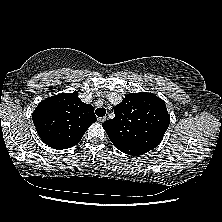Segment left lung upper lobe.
Wrapping results in <instances>:
<instances>
[{
    "mask_svg": "<svg viewBox=\"0 0 222 222\" xmlns=\"http://www.w3.org/2000/svg\"><path fill=\"white\" fill-rule=\"evenodd\" d=\"M115 117L102 126L116 148L153 150L161 142L169 124L164 101L154 94L130 93L115 106Z\"/></svg>",
    "mask_w": 222,
    "mask_h": 222,
    "instance_id": "left-lung-upper-lobe-1",
    "label": "left lung upper lobe"
}]
</instances>
